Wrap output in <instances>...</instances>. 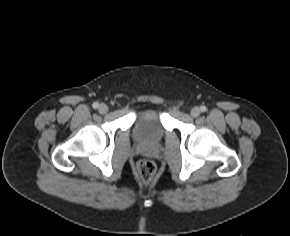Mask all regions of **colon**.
I'll list each match as a JSON object with an SVG mask.
<instances>
[{"label":"colon","mask_w":290,"mask_h":236,"mask_svg":"<svg viewBox=\"0 0 290 236\" xmlns=\"http://www.w3.org/2000/svg\"><path fill=\"white\" fill-rule=\"evenodd\" d=\"M156 172V165L151 160H140L136 165V175L143 182H150Z\"/></svg>","instance_id":"5ec220e1"}]
</instances>
